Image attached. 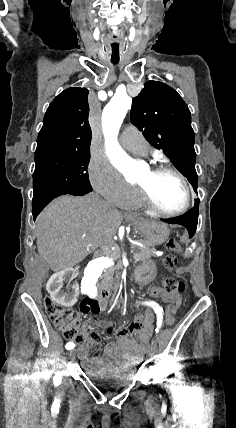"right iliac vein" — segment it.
<instances>
[{
  "mask_svg": "<svg viewBox=\"0 0 236 428\" xmlns=\"http://www.w3.org/2000/svg\"><path fill=\"white\" fill-rule=\"evenodd\" d=\"M75 351H70V356H75Z\"/></svg>",
  "mask_w": 236,
  "mask_h": 428,
  "instance_id": "63e3f726",
  "label": "right iliac vein"
}]
</instances>
